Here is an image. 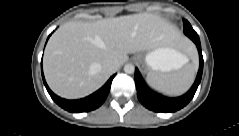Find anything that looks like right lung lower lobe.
<instances>
[{"mask_svg": "<svg viewBox=\"0 0 239 136\" xmlns=\"http://www.w3.org/2000/svg\"><path fill=\"white\" fill-rule=\"evenodd\" d=\"M115 75L111 76V78L106 82V84L100 88L98 91L95 93L91 94L90 96L79 99V100H66L63 98H60L59 96L55 95L48 87L44 75H43V70H42V78L44 85L50 94L51 98L63 109L69 111V112H87L94 110L101 106V104L106 100L110 87H111V82L113 80Z\"/></svg>", "mask_w": 239, "mask_h": 136, "instance_id": "98d812e1", "label": "right lung lower lobe"}]
</instances>
